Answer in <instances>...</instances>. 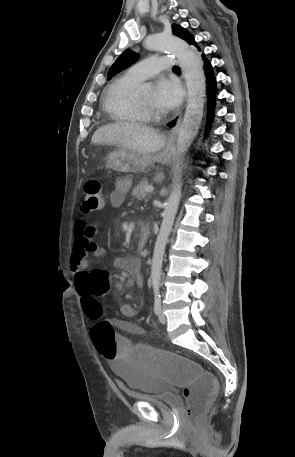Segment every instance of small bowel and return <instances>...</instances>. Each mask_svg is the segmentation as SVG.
<instances>
[{"mask_svg":"<svg viewBox=\"0 0 295 457\" xmlns=\"http://www.w3.org/2000/svg\"><path fill=\"white\" fill-rule=\"evenodd\" d=\"M129 187L130 183L128 180H119L117 182L109 198L112 207L118 208L124 203ZM94 233L95 227L90 221L84 218L77 220L75 224L74 249L70 259V270L80 294L81 288L87 280V273H90L86 272L90 262L89 255L92 254L100 257L106 254L105 248L93 240ZM112 264L113 266L125 269L134 277L139 287L143 286V276L141 274L139 259L135 257H114L112 258ZM120 312L125 318H133L136 315L133 306L127 303L121 305ZM113 324L119 330H124L126 333L139 334L142 332L139 326L127 320L115 319ZM126 341L130 340L127 338ZM109 361L112 362V360Z\"/></svg>","mask_w":295,"mask_h":457,"instance_id":"c3829d8e","label":"small bowel"}]
</instances>
